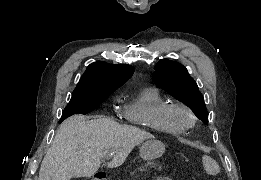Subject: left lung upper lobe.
Instances as JSON below:
<instances>
[{"label":"left lung upper lobe","mask_w":261,"mask_h":180,"mask_svg":"<svg viewBox=\"0 0 261 180\" xmlns=\"http://www.w3.org/2000/svg\"><path fill=\"white\" fill-rule=\"evenodd\" d=\"M154 83L177 100L187 105L203 122H208L204 98L196 82L180 63L168 59L160 60L154 67Z\"/></svg>","instance_id":"1"}]
</instances>
